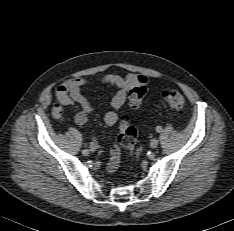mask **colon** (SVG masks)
<instances>
[{"mask_svg": "<svg viewBox=\"0 0 234 231\" xmlns=\"http://www.w3.org/2000/svg\"><path fill=\"white\" fill-rule=\"evenodd\" d=\"M146 78L139 77L134 86L129 91V103L133 109H138L142 103V100L146 94ZM163 101L172 109L182 110L185 104L184 96L177 90L165 89L161 92ZM136 142V130L130 124L129 117L122 115L118 126L117 143L112 149L111 159L118 164L119 160V146L125 148L128 151V155H131L135 148Z\"/></svg>", "mask_w": 234, "mask_h": 231, "instance_id": "5ec220e1", "label": "colon"}]
</instances>
